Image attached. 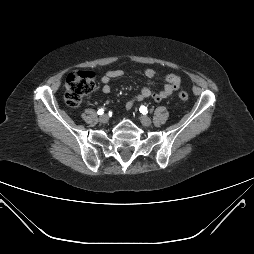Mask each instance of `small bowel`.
<instances>
[{
  "label": "small bowel",
  "instance_id": "c3829d8e",
  "mask_svg": "<svg viewBox=\"0 0 254 254\" xmlns=\"http://www.w3.org/2000/svg\"><path fill=\"white\" fill-rule=\"evenodd\" d=\"M124 72L120 69H113L107 71L102 77H101V84H102V92L105 94L110 93L111 91V86L110 82L112 79L119 78L123 76ZM156 72L152 68H147L144 71V75L147 78H153L155 76ZM166 84L164 87L157 91L153 92L150 88L148 87H143L141 91L134 96L132 99H130L126 103V110H130L132 106L134 105L135 102L143 101L145 99H153L156 102H160L166 98H168L170 95H172L175 91H177L181 85V78L178 75L175 74H168L165 77Z\"/></svg>",
  "mask_w": 254,
  "mask_h": 254
}]
</instances>
